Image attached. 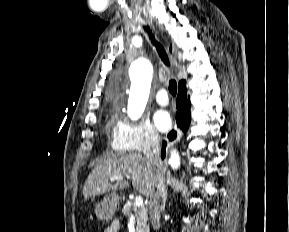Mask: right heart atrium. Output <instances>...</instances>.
I'll list each match as a JSON object with an SVG mask.
<instances>
[{
  "instance_id": "d8ad5b80",
  "label": "right heart atrium",
  "mask_w": 289,
  "mask_h": 232,
  "mask_svg": "<svg viewBox=\"0 0 289 232\" xmlns=\"http://www.w3.org/2000/svg\"><path fill=\"white\" fill-rule=\"evenodd\" d=\"M160 136L148 122L117 119L112 128V148L118 153H145L158 148Z\"/></svg>"
}]
</instances>
